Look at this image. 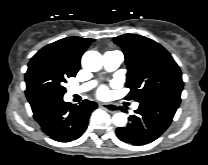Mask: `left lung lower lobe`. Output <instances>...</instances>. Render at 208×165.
I'll return each mask as SVG.
<instances>
[{"label":"left lung lower lobe","mask_w":208,"mask_h":165,"mask_svg":"<svg viewBox=\"0 0 208 165\" xmlns=\"http://www.w3.org/2000/svg\"><path fill=\"white\" fill-rule=\"evenodd\" d=\"M181 99L160 96L141 102L126 127L117 128V137L126 143L144 145L156 140L170 125Z\"/></svg>","instance_id":"left-lung-lower-lobe-1"}]
</instances>
